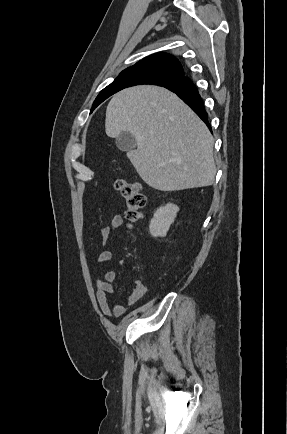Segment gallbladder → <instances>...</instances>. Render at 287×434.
Segmentation results:
<instances>
[{"label":"gallbladder","instance_id":"obj_1","mask_svg":"<svg viewBox=\"0 0 287 434\" xmlns=\"http://www.w3.org/2000/svg\"><path fill=\"white\" fill-rule=\"evenodd\" d=\"M118 149L125 152L133 151L136 147L135 137L129 132H122L115 140Z\"/></svg>","mask_w":287,"mask_h":434}]
</instances>
